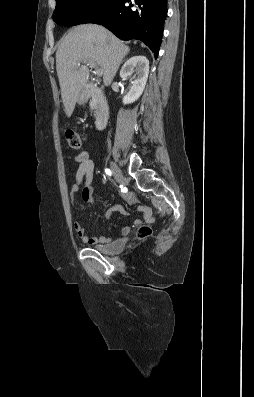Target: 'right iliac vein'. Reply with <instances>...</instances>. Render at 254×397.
Masks as SVG:
<instances>
[{"mask_svg": "<svg viewBox=\"0 0 254 397\" xmlns=\"http://www.w3.org/2000/svg\"><path fill=\"white\" fill-rule=\"evenodd\" d=\"M110 167H111V170H112V172L114 174L115 180L119 184H123L124 183V176H123L122 171L120 170V168L113 162H111Z\"/></svg>", "mask_w": 254, "mask_h": 397, "instance_id": "obj_1", "label": "right iliac vein"}]
</instances>
